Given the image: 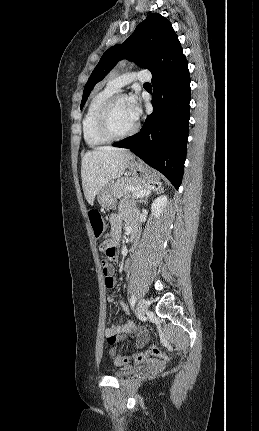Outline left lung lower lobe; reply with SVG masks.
Masks as SVG:
<instances>
[{
  "mask_svg": "<svg viewBox=\"0 0 259 431\" xmlns=\"http://www.w3.org/2000/svg\"><path fill=\"white\" fill-rule=\"evenodd\" d=\"M151 73L153 113L139 133L113 145L130 149L178 189L186 159L191 99L188 63L178 40Z\"/></svg>",
  "mask_w": 259,
  "mask_h": 431,
  "instance_id": "obj_1",
  "label": "left lung lower lobe"
}]
</instances>
